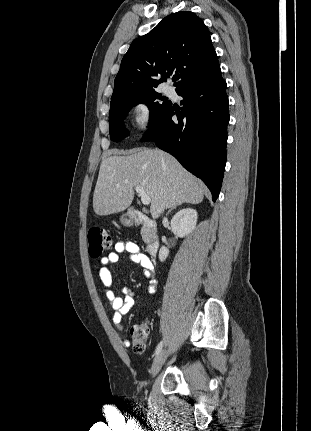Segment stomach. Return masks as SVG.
<instances>
[{
	"instance_id": "0dacf381",
	"label": "stomach",
	"mask_w": 311,
	"mask_h": 431,
	"mask_svg": "<svg viewBox=\"0 0 311 431\" xmlns=\"http://www.w3.org/2000/svg\"><path fill=\"white\" fill-rule=\"evenodd\" d=\"M120 221L122 225H125V227H131V225H133L132 217H128L126 214H123V216L120 217Z\"/></svg>"
}]
</instances>
